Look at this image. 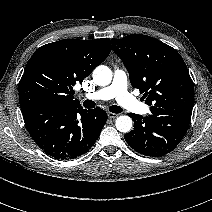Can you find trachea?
Here are the masks:
<instances>
[{
  "label": "trachea",
  "instance_id": "obj_1",
  "mask_svg": "<svg viewBox=\"0 0 212 212\" xmlns=\"http://www.w3.org/2000/svg\"><path fill=\"white\" fill-rule=\"evenodd\" d=\"M95 102L92 101V100H85L83 102V106L85 108H94L95 107ZM109 110L112 112V113H121L123 111V109L119 106H116V105H112L109 107Z\"/></svg>",
  "mask_w": 212,
  "mask_h": 212
}]
</instances>
